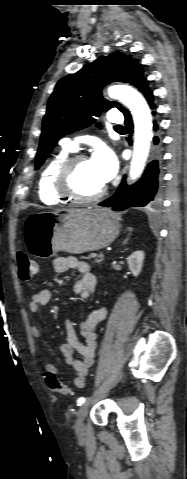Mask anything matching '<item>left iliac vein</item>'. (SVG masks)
I'll return each instance as SVG.
<instances>
[{"label":"left iliac vein","instance_id":"4c4485c4","mask_svg":"<svg viewBox=\"0 0 187 479\" xmlns=\"http://www.w3.org/2000/svg\"><path fill=\"white\" fill-rule=\"evenodd\" d=\"M121 377H122V373L119 374V376L117 377V379L114 381L113 384H116ZM88 409H89L88 403L82 404L78 409L77 419L75 422V431L78 436H81L84 433V430H85L84 419L88 414Z\"/></svg>","mask_w":187,"mask_h":479}]
</instances>
